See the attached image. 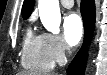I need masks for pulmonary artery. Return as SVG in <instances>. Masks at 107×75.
<instances>
[{"label":"pulmonary artery","mask_w":107,"mask_h":75,"mask_svg":"<svg viewBox=\"0 0 107 75\" xmlns=\"http://www.w3.org/2000/svg\"><path fill=\"white\" fill-rule=\"evenodd\" d=\"M60 2L65 8H71L74 4L73 0H61Z\"/></svg>","instance_id":"pulmonary-artery-1"}]
</instances>
